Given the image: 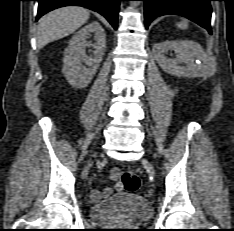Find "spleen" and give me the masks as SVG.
<instances>
[{"label":"spleen","instance_id":"obj_1","mask_svg":"<svg viewBox=\"0 0 234 231\" xmlns=\"http://www.w3.org/2000/svg\"><path fill=\"white\" fill-rule=\"evenodd\" d=\"M177 27L180 29H186L188 27L187 21L183 20L180 23H177Z\"/></svg>","mask_w":234,"mask_h":231}]
</instances>
